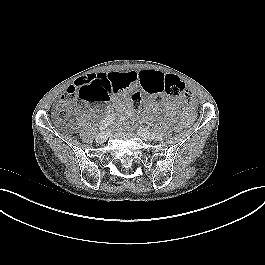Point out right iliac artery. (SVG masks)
<instances>
[{
  "label": "right iliac artery",
  "mask_w": 265,
  "mask_h": 265,
  "mask_svg": "<svg viewBox=\"0 0 265 265\" xmlns=\"http://www.w3.org/2000/svg\"><path fill=\"white\" fill-rule=\"evenodd\" d=\"M115 119L114 115H109L107 116L103 121L102 123L100 124L99 126V130L100 131H103L105 130L112 122L113 120Z\"/></svg>",
  "instance_id": "1"
}]
</instances>
